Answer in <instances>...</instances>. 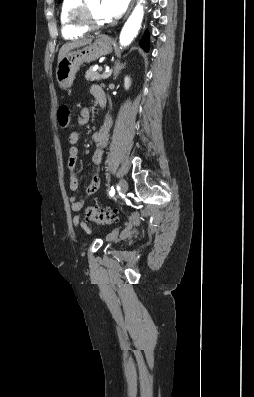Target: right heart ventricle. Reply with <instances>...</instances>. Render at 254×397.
I'll return each instance as SVG.
<instances>
[{
  "instance_id": "1",
  "label": "right heart ventricle",
  "mask_w": 254,
  "mask_h": 397,
  "mask_svg": "<svg viewBox=\"0 0 254 397\" xmlns=\"http://www.w3.org/2000/svg\"><path fill=\"white\" fill-rule=\"evenodd\" d=\"M81 0H63L60 7V29L62 36L67 40H74L82 37L87 30L78 27L73 19V10L79 5Z\"/></svg>"
}]
</instances>
